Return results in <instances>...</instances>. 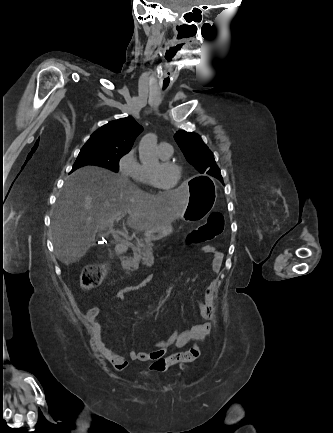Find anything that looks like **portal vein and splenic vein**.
I'll list each match as a JSON object with an SVG mask.
<instances>
[{
	"label": "portal vein and splenic vein",
	"mask_w": 333,
	"mask_h": 433,
	"mask_svg": "<svg viewBox=\"0 0 333 433\" xmlns=\"http://www.w3.org/2000/svg\"><path fill=\"white\" fill-rule=\"evenodd\" d=\"M126 214H124V213H119V214H117L115 217H113L112 219H109V220H106V224H108L109 226H113V224L115 223V222H118L120 219H122L124 216H125ZM111 232L112 233H118V234H120V235H122V236H124L125 235V232H122V231H115V230H111ZM129 245V242L127 241V240H123L120 244H118L117 246H122V247H124V246H128Z\"/></svg>",
	"instance_id": "portal-vein-and-splenic-vein-1"
}]
</instances>
